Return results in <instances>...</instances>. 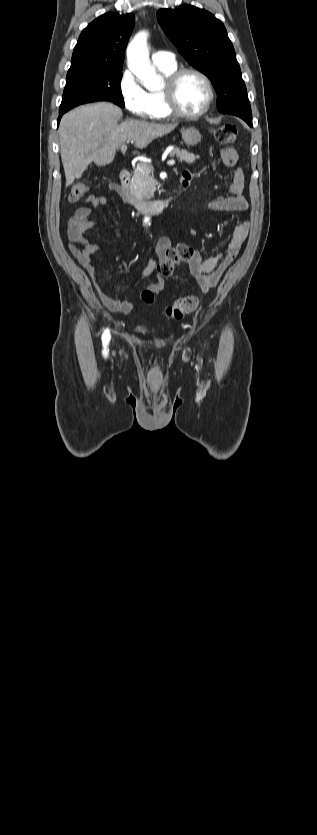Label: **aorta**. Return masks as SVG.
I'll return each instance as SVG.
<instances>
[{
	"mask_svg": "<svg viewBox=\"0 0 317 835\" xmlns=\"http://www.w3.org/2000/svg\"><path fill=\"white\" fill-rule=\"evenodd\" d=\"M147 38L148 33L142 31L129 43L127 64L142 85L148 90H153L161 87L162 77L156 73L155 67L151 65Z\"/></svg>",
	"mask_w": 317,
	"mask_h": 835,
	"instance_id": "obj_1",
	"label": "aorta"
}]
</instances>
